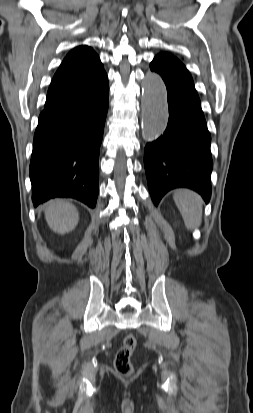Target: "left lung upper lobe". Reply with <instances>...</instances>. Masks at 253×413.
<instances>
[{
    "instance_id": "5c2ea615",
    "label": "left lung upper lobe",
    "mask_w": 253,
    "mask_h": 413,
    "mask_svg": "<svg viewBox=\"0 0 253 413\" xmlns=\"http://www.w3.org/2000/svg\"><path fill=\"white\" fill-rule=\"evenodd\" d=\"M157 56L163 57V58H167L176 62H180L176 57H174L173 55L169 54V53H160Z\"/></svg>"
}]
</instances>
